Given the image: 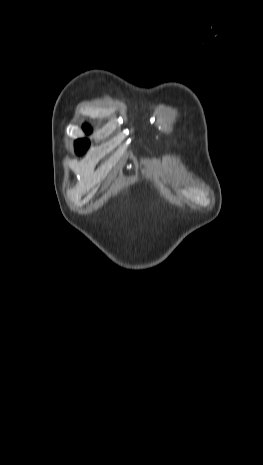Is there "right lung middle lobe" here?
<instances>
[{
    "instance_id": "dd1d6c3e",
    "label": "right lung middle lobe",
    "mask_w": 263,
    "mask_h": 465,
    "mask_svg": "<svg viewBox=\"0 0 263 465\" xmlns=\"http://www.w3.org/2000/svg\"><path fill=\"white\" fill-rule=\"evenodd\" d=\"M83 129L85 132L90 133L92 131L89 125H84ZM90 142L87 139H80L75 142V150L77 154H83L89 147Z\"/></svg>"
}]
</instances>
